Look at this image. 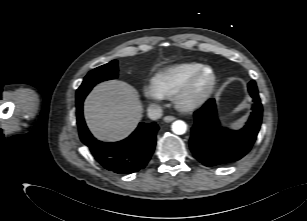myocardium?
<instances>
[{
    "label": "myocardium",
    "instance_id": "1",
    "mask_svg": "<svg viewBox=\"0 0 307 221\" xmlns=\"http://www.w3.org/2000/svg\"><path fill=\"white\" fill-rule=\"evenodd\" d=\"M207 73H209V79L202 86L201 81ZM216 84L217 76L214 69L204 66L176 93V107L182 111H191L200 107L212 95Z\"/></svg>",
    "mask_w": 307,
    "mask_h": 221
}]
</instances>
